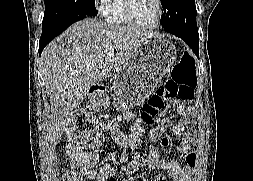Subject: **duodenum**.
<instances>
[{
    "label": "duodenum",
    "instance_id": "410a0bca",
    "mask_svg": "<svg viewBox=\"0 0 253 181\" xmlns=\"http://www.w3.org/2000/svg\"><path fill=\"white\" fill-rule=\"evenodd\" d=\"M103 92H104V88L99 85L93 86L90 90V93H91L92 97H94V98L101 97Z\"/></svg>",
    "mask_w": 253,
    "mask_h": 181
}]
</instances>
